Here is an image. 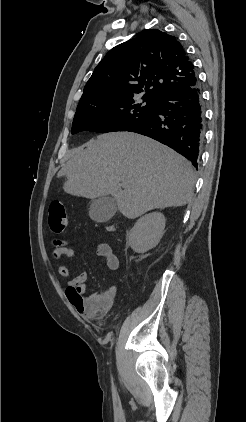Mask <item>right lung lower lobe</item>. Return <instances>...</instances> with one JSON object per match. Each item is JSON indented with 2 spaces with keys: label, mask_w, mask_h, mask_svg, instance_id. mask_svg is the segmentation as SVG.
<instances>
[{
  "label": "right lung lower lobe",
  "mask_w": 246,
  "mask_h": 422,
  "mask_svg": "<svg viewBox=\"0 0 246 422\" xmlns=\"http://www.w3.org/2000/svg\"><path fill=\"white\" fill-rule=\"evenodd\" d=\"M153 103V115L125 131L151 137L171 147L197 169L204 139V112L198 82L165 93Z\"/></svg>",
  "instance_id": "1"
}]
</instances>
